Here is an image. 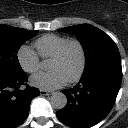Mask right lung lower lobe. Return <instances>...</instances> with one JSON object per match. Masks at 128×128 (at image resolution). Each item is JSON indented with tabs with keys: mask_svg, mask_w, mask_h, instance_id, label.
<instances>
[{
	"mask_svg": "<svg viewBox=\"0 0 128 128\" xmlns=\"http://www.w3.org/2000/svg\"><path fill=\"white\" fill-rule=\"evenodd\" d=\"M26 81L24 71L15 75L0 73V128H16L28 116L31 100L40 92L29 86L20 90Z\"/></svg>",
	"mask_w": 128,
	"mask_h": 128,
	"instance_id": "98d812e1",
	"label": "right lung lower lobe"
}]
</instances>
